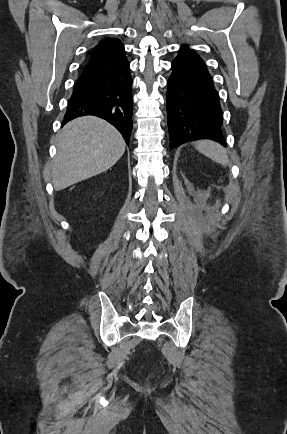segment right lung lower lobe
Masks as SVG:
<instances>
[{"mask_svg": "<svg viewBox=\"0 0 287 434\" xmlns=\"http://www.w3.org/2000/svg\"><path fill=\"white\" fill-rule=\"evenodd\" d=\"M132 78L125 51L88 62L75 84L63 125L95 115L114 125L129 144L132 131Z\"/></svg>", "mask_w": 287, "mask_h": 434, "instance_id": "1", "label": "right lung lower lobe"}]
</instances>
